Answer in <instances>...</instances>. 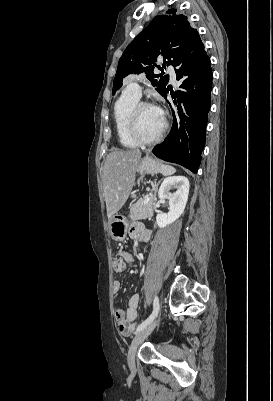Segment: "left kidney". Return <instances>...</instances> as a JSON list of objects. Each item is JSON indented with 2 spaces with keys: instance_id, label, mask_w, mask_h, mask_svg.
Returning a JSON list of instances; mask_svg holds the SVG:
<instances>
[{
  "instance_id": "obj_1",
  "label": "left kidney",
  "mask_w": 273,
  "mask_h": 401,
  "mask_svg": "<svg viewBox=\"0 0 273 401\" xmlns=\"http://www.w3.org/2000/svg\"><path fill=\"white\" fill-rule=\"evenodd\" d=\"M189 180L186 176H167L164 178L158 192L159 198H169L170 211L158 213L156 223L164 229L179 219L184 213L189 194ZM171 188H177L176 192H170Z\"/></svg>"
}]
</instances>
